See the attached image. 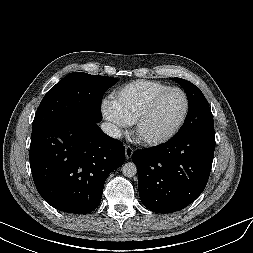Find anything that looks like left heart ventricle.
<instances>
[{"label": "left heart ventricle", "mask_w": 253, "mask_h": 253, "mask_svg": "<svg viewBox=\"0 0 253 253\" xmlns=\"http://www.w3.org/2000/svg\"><path fill=\"white\" fill-rule=\"evenodd\" d=\"M184 98L180 92L164 95L142 124L139 134L143 138L162 136L171 131L184 111Z\"/></svg>", "instance_id": "left-heart-ventricle-1"}]
</instances>
